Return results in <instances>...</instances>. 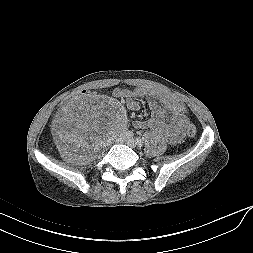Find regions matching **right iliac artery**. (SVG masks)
<instances>
[{
    "label": "right iliac artery",
    "mask_w": 253,
    "mask_h": 253,
    "mask_svg": "<svg viewBox=\"0 0 253 253\" xmlns=\"http://www.w3.org/2000/svg\"><path fill=\"white\" fill-rule=\"evenodd\" d=\"M126 136L127 137H132L133 136V133L131 131H126Z\"/></svg>",
    "instance_id": "82829eb1"
}]
</instances>
